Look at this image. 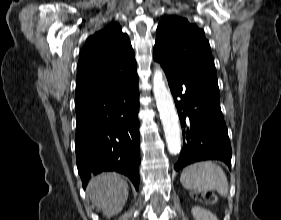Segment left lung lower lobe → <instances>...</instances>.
<instances>
[{
  "mask_svg": "<svg viewBox=\"0 0 281 220\" xmlns=\"http://www.w3.org/2000/svg\"><path fill=\"white\" fill-rule=\"evenodd\" d=\"M183 130V149L175 170L201 160L217 159L231 167V145L220 108L219 89L190 73L161 64Z\"/></svg>",
  "mask_w": 281,
  "mask_h": 220,
  "instance_id": "obj_1",
  "label": "left lung lower lobe"
}]
</instances>
